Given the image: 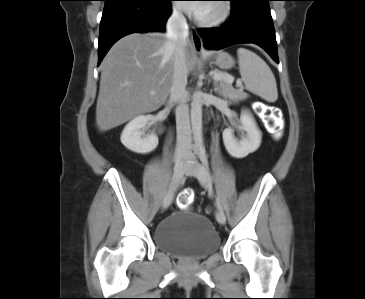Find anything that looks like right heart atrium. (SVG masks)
<instances>
[{"instance_id":"right-heart-atrium-1","label":"right heart atrium","mask_w":365,"mask_h":299,"mask_svg":"<svg viewBox=\"0 0 365 299\" xmlns=\"http://www.w3.org/2000/svg\"><path fill=\"white\" fill-rule=\"evenodd\" d=\"M172 11L175 15H178V16L181 15V8L177 5L173 6Z\"/></svg>"}]
</instances>
